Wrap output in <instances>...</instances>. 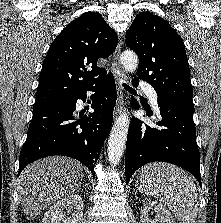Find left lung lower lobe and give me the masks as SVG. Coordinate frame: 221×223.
Masks as SVG:
<instances>
[{
    "label": "left lung lower lobe",
    "instance_id": "0a47b994",
    "mask_svg": "<svg viewBox=\"0 0 221 223\" xmlns=\"http://www.w3.org/2000/svg\"><path fill=\"white\" fill-rule=\"evenodd\" d=\"M137 87L138 82L132 81ZM133 108L139 104L131 100ZM161 120L150 126L132 118L127 136L125 175L126 184L134 172L143 165L163 161L189 171L201 184L200 154L196 144L193 122L194 107L158 97ZM150 116V115H149Z\"/></svg>",
    "mask_w": 221,
    "mask_h": 223
}]
</instances>
